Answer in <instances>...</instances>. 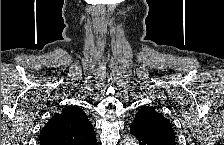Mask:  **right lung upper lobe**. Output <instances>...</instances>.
Here are the masks:
<instances>
[{
  "label": "right lung upper lobe",
  "instance_id": "cb5924a9",
  "mask_svg": "<svg viewBox=\"0 0 224 145\" xmlns=\"http://www.w3.org/2000/svg\"><path fill=\"white\" fill-rule=\"evenodd\" d=\"M96 135L86 114L77 106H68L45 124L40 145H96Z\"/></svg>",
  "mask_w": 224,
  "mask_h": 145
}]
</instances>
